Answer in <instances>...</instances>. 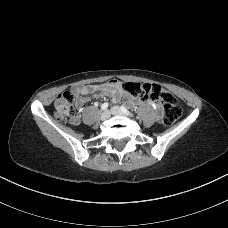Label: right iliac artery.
Returning a JSON list of instances; mask_svg holds the SVG:
<instances>
[{"mask_svg": "<svg viewBox=\"0 0 228 228\" xmlns=\"http://www.w3.org/2000/svg\"><path fill=\"white\" fill-rule=\"evenodd\" d=\"M109 104L106 102V103H103L101 105V110H106L108 108Z\"/></svg>", "mask_w": 228, "mask_h": 228, "instance_id": "82829eb1", "label": "right iliac artery"}]
</instances>
